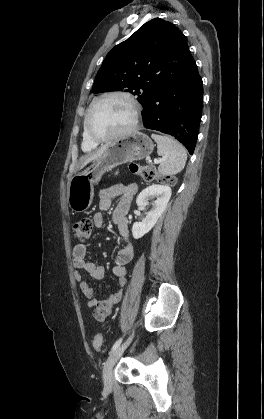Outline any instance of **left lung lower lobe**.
Segmentation results:
<instances>
[{
  "label": "left lung lower lobe",
  "mask_w": 264,
  "mask_h": 419,
  "mask_svg": "<svg viewBox=\"0 0 264 419\" xmlns=\"http://www.w3.org/2000/svg\"><path fill=\"white\" fill-rule=\"evenodd\" d=\"M170 75L156 81L143 105L145 128L179 140L193 154L202 115V79L182 35Z\"/></svg>",
  "instance_id": "obj_1"
}]
</instances>
